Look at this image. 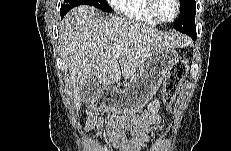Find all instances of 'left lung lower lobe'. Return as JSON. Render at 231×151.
Listing matches in <instances>:
<instances>
[{"instance_id": "obj_1", "label": "left lung lower lobe", "mask_w": 231, "mask_h": 151, "mask_svg": "<svg viewBox=\"0 0 231 151\" xmlns=\"http://www.w3.org/2000/svg\"><path fill=\"white\" fill-rule=\"evenodd\" d=\"M187 35H189L192 39H196V37H197V34H196V31H193V32H190V33H188Z\"/></svg>"}]
</instances>
